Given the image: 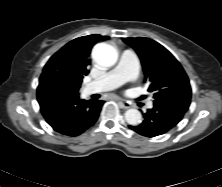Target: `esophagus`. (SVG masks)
I'll use <instances>...</instances> for the list:
<instances>
[{"mask_svg":"<svg viewBox=\"0 0 222 187\" xmlns=\"http://www.w3.org/2000/svg\"><path fill=\"white\" fill-rule=\"evenodd\" d=\"M120 104L125 109H129L132 107V104L128 101H125V100H120Z\"/></svg>","mask_w":222,"mask_h":187,"instance_id":"1","label":"esophagus"}]
</instances>
